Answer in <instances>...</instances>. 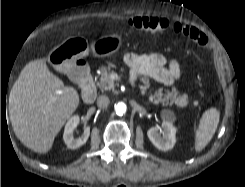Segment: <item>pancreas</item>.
Segmentation results:
<instances>
[{"instance_id":"pancreas-1","label":"pancreas","mask_w":245,"mask_h":187,"mask_svg":"<svg viewBox=\"0 0 245 187\" xmlns=\"http://www.w3.org/2000/svg\"><path fill=\"white\" fill-rule=\"evenodd\" d=\"M101 76L97 82V86L102 90H114V81L111 78V69L110 67L101 66L100 67ZM140 81L144 84L140 86L141 93L145 94L147 89L150 86L149 79L147 77H141ZM149 101L158 104L162 103L165 105L175 103L180 107H185L188 104V96L187 94H179V92L175 89L172 91H168L163 93L160 89L154 94L149 95Z\"/></svg>"}]
</instances>
